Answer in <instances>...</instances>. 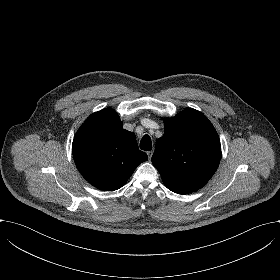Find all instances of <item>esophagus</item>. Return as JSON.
Segmentation results:
<instances>
[{"instance_id": "34e87169", "label": "esophagus", "mask_w": 280, "mask_h": 280, "mask_svg": "<svg viewBox=\"0 0 280 280\" xmlns=\"http://www.w3.org/2000/svg\"><path fill=\"white\" fill-rule=\"evenodd\" d=\"M152 155H153V151H148L147 152L148 160L151 159Z\"/></svg>"}]
</instances>
